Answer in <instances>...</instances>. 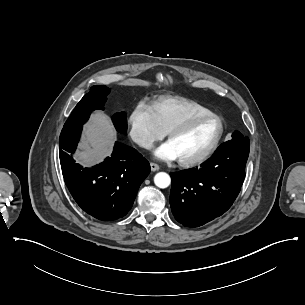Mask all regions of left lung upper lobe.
Listing matches in <instances>:
<instances>
[{
  "label": "left lung upper lobe",
  "instance_id": "1",
  "mask_svg": "<svg viewBox=\"0 0 305 305\" xmlns=\"http://www.w3.org/2000/svg\"><path fill=\"white\" fill-rule=\"evenodd\" d=\"M244 136L238 132V131H235L233 134H232V139L231 140H236V139H240V138H243Z\"/></svg>",
  "mask_w": 305,
  "mask_h": 305
}]
</instances>
